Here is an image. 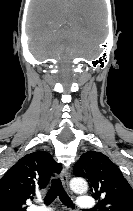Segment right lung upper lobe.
I'll list each match as a JSON object with an SVG mask.
<instances>
[{"instance_id": "obj_1", "label": "right lung upper lobe", "mask_w": 133, "mask_h": 211, "mask_svg": "<svg viewBox=\"0 0 133 211\" xmlns=\"http://www.w3.org/2000/svg\"><path fill=\"white\" fill-rule=\"evenodd\" d=\"M61 169L45 151L25 155L0 179V211H25L26 200L45 188Z\"/></svg>"}]
</instances>
